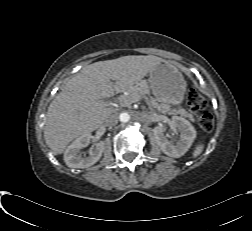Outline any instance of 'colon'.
<instances>
[{"label":"colon","mask_w":252,"mask_h":231,"mask_svg":"<svg viewBox=\"0 0 252 231\" xmlns=\"http://www.w3.org/2000/svg\"><path fill=\"white\" fill-rule=\"evenodd\" d=\"M189 109L200 113L198 123L202 131L209 133L214 128V120L211 113L207 110L205 99L195 90H189L186 96Z\"/></svg>","instance_id":"5ec220e1"}]
</instances>
